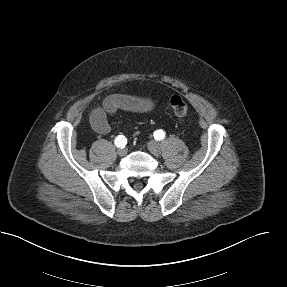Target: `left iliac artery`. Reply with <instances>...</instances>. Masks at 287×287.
<instances>
[{
  "instance_id": "1",
  "label": "left iliac artery",
  "mask_w": 287,
  "mask_h": 287,
  "mask_svg": "<svg viewBox=\"0 0 287 287\" xmlns=\"http://www.w3.org/2000/svg\"><path fill=\"white\" fill-rule=\"evenodd\" d=\"M154 137L156 140H162L165 138V132L163 130H156L154 132Z\"/></svg>"
}]
</instances>
